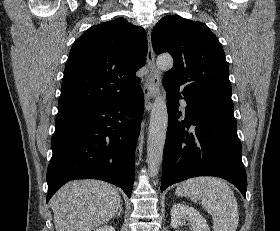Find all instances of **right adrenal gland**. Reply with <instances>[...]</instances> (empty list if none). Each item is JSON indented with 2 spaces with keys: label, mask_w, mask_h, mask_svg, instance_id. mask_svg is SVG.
I'll list each match as a JSON object with an SVG mask.
<instances>
[{
  "label": "right adrenal gland",
  "mask_w": 280,
  "mask_h": 231,
  "mask_svg": "<svg viewBox=\"0 0 280 231\" xmlns=\"http://www.w3.org/2000/svg\"><path fill=\"white\" fill-rule=\"evenodd\" d=\"M121 211H122V203H121V205L119 207V211H116V213H114V215H117V217H120Z\"/></svg>",
  "instance_id": "right-adrenal-gland-1"
}]
</instances>
